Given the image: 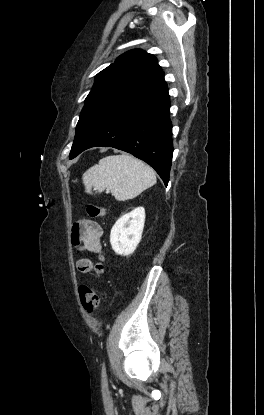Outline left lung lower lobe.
Listing matches in <instances>:
<instances>
[{
    "label": "left lung lower lobe",
    "instance_id": "1",
    "mask_svg": "<svg viewBox=\"0 0 264 415\" xmlns=\"http://www.w3.org/2000/svg\"><path fill=\"white\" fill-rule=\"evenodd\" d=\"M169 107L163 79L106 111L74 157L91 147H114L148 163L167 186L173 153Z\"/></svg>",
    "mask_w": 264,
    "mask_h": 415
}]
</instances>
